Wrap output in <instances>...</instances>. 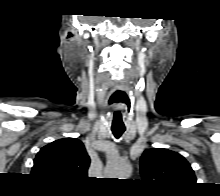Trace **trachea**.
Segmentation results:
<instances>
[{
    "label": "trachea",
    "mask_w": 220,
    "mask_h": 196,
    "mask_svg": "<svg viewBox=\"0 0 220 196\" xmlns=\"http://www.w3.org/2000/svg\"><path fill=\"white\" fill-rule=\"evenodd\" d=\"M114 136L116 138H119L125 131V128H111Z\"/></svg>",
    "instance_id": "trachea-1"
}]
</instances>
